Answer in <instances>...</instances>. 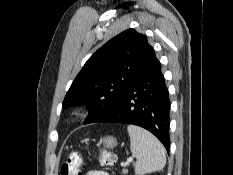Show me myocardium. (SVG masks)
Masks as SVG:
<instances>
[{
	"label": "myocardium",
	"mask_w": 233,
	"mask_h": 175,
	"mask_svg": "<svg viewBox=\"0 0 233 175\" xmlns=\"http://www.w3.org/2000/svg\"><path fill=\"white\" fill-rule=\"evenodd\" d=\"M79 113V109H76L72 112V116H77Z\"/></svg>",
	"instance_id": "obj_1"
}]
</instances>
